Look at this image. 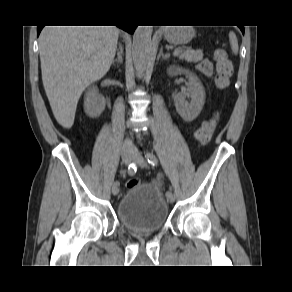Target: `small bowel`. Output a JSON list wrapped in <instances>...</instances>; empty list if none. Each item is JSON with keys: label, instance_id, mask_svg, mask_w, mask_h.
Instances as JSON below:
<instances>
[{"label": "small bowel", "instance_id": "1", "mask_svg": "<svg viewBox=\"0 0 292 292\" xmlns=\"http://www.w3.org/2000/svg\"><path fill=\"white\" fill-rule=\"evenodd\" d=\"M197 69L207 77H211L213 74V64L207 59L200 61L197 65Z\"/></svg>", "mask_w": 292, "mask_h": 292}]
</instances>
